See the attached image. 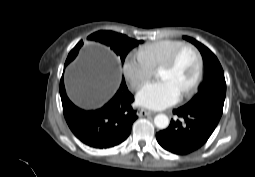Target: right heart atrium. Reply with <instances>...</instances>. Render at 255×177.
Wrapping results in <instances>:
<instances>
[{
  "mask_svg": "<svg viewBox=\"0 0 255 177\" xmlns=\"http://www.w3.org/2000/svg\"><path fill=\"white\" fill-rule=\"evenodd\" d=\"M123 71L136 89L153 76L155 69L140 52H131L125 58Z\"/></svg>",
  "mask_w": 255,
  "mask_h": 177,
  "instance_id": "right-heart-atrium-1",
  "label": "right heart atrium"
}]
</instances>
